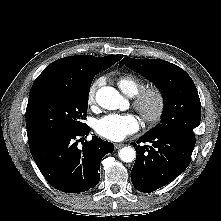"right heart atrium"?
<instances>
[{"instance_id": "obj_1", "label": "right heart atrium", "mask_w": 221, "mask_h": 221, "mask_svg": "<svg viewBox=\"0 0 221 221\" xmlns=\"http://www.w3.org/2000/svg\"><path fill=\"white\" fill-rule=\"evenodd\" d=\"M101 84H102V79H98L90 85L87 92V103L89 106H93L95 104L96 93Z\"/></svg>"}]
</instances>
